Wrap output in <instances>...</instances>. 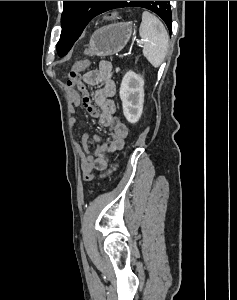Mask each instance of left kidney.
<instances>
[{"instance_id": "1", "label": "left kidney", "mask_w": 237, "mask_h": 300, "mask_svg": "<svg viewBox=\"0 0 237 300\" xmlns=\"http://www.w3.org/2000/svg\"><path fill=\"white\" fill-rule=\"evenodd\" d=\"M122 109L128 123H137L143 113L144 79L133 71L124 75L119 91Z\"/></svg>"}]
</instances>
